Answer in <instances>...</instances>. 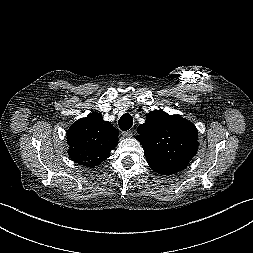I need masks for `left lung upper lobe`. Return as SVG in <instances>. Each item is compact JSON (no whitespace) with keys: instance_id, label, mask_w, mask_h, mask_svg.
I'll return each instance as SVG.
<instances>
[{"instance_id":"5c2ea615","label":"left lung upper lobe","mask_w":253,"mask_h":253,"mask_svg":"<svg viewBox=\"0 0 253 253\" xmlns=\"http://www.w3.org/2000/svg\"><path fill=\"white\" fill-rule=\"evenodd\" d=\"M136 136L150 167L161 175L184 170L198 149V130L179 115L151 111Z\"/></svg>"}]
</instances>
